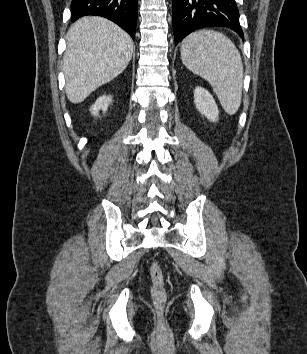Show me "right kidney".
Here are the masks:
<instances>
[{"mask_svg":"<svg viewBox=\"0 0 307 354\" xmlns=\"http://www.w3.org/2000/svg\"><path fill=\"white\" fill-rule=\"evenodd\" d=\"M112 102V96H101L99 97L95 104L92 105L90 111L94 116H99V111L102 110L104 113L107 111L109 104Z\"/></svg>","mask_w":307,"mask_h":354,"instance_id":"ca27d5eb","label":"right kidney"}]
</instances>
